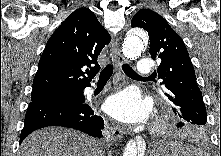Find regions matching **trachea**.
I'll return each instance as SVG.
<instances>
[{
	"label": "trachea",
	"instance_id": "obj_1",
	"mask_svg": "<svg viewBox=\"0 0 221 156\" xmlns=\"http://www.w3.org/2000/svg\"><path fill=\"white\" fill-rule=\"evenodd\" d=\"M122 69L124 73L131 78H141V76L138 75L128 64H122ZM113 70V64H108L100 73L99 81L108 80L112 76Z\"/></svg>",
	"mask_w": 221,
	"mask_h": 156
}]
</instances>
